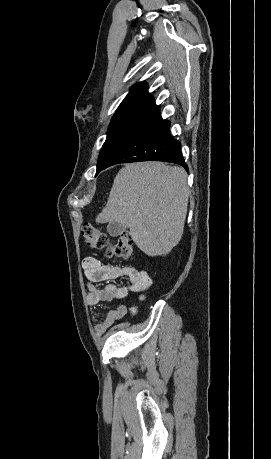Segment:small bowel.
<instances>
[{
    "label": "small bowel",
    "instance_id": "1",
    "mask_svg": "<svg viewBox=\"0 0 271 459\" xmlns=\"http://www.w3.org/2000/svg\"><path fill=\"white\" fill-rule=\"evenodd\" d=\"M84 273L89 281L86 302L93 306L101 302L119 300L127 297L131 293L141 292L150 286L149 275L140 269L131 266H114L102 264L97 258L88 256L82 262ZM127 278V286L120 287L113 283L106 284L102 288L95 286L96 283ZM126 314L124 305L111 310L104 320L96 325L95 331L98 335L105 333L117 321Z\"/></svg>",
    "mask_w": 271,
    "mask_h": 459
}]
</instances>
